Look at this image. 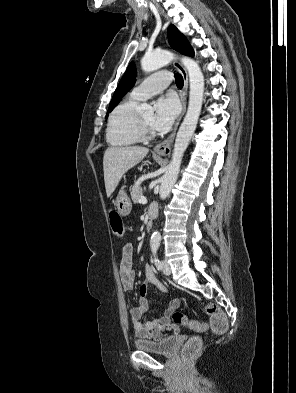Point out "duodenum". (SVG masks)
<instances>
[{
	"label": "duodenum",
	"instance_id": "1",
	"mask_svg": "<svg viewBox=\"0 0 296 393\" xmlns=\"http://www.w3.org/2000/svg\"><path fill=\"white\" fill-rule=\"evenodd\" d=\"M157 214H158V206L156 204L149 206L147 209L148 222L151 223L156 218Z\"/></svg>",
	"mask_w": 296,
	"mask_h": 393
}]
</instances>
